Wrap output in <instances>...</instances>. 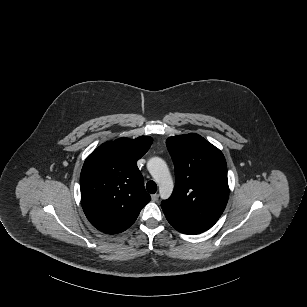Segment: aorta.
I'll list each match as a JSON object with an SVG mask.
<instances>
[{
  "mask_svg": "<svg viewBox=\"0 0 307 307\" xmlns=\"http://www.w3.org/2000/svg\"><path fill=\"white\" fill-rule=\"evenodd\" d=\"M146 168L159 186V196L162 200H168L174 189L167 163L158 156L150 157L146 162Z\"/></svg>",
  "mask_w": 307,
  "mask_h": 307,
  "instance_id": "obj_1",
  "label": "aorta"
}]
</instances>
